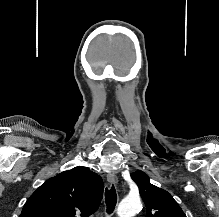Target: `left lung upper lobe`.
Here are the masks:
<instances>
[{
    "label": "left lung upper lobe",
    "mask_w": 219,
    "mask_h": 217,
    "mask_svg": "<svg viewBox=\"0 0 219 217\" xmlns=\"http://www.w3.org/2000/svg\"><path fill=\"white\" fill-rule=\"evenodd\" d=\"M146 205V217H186L178 203L167 191L150 183L142 171L131 174Z\"/></svg>",
    "instance_id": "1"
}]
</instances>
